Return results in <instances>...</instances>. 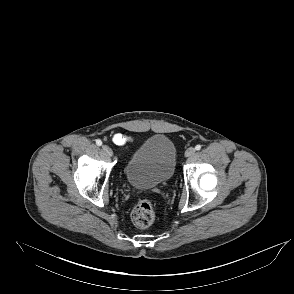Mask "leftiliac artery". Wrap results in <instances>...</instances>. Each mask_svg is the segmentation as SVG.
Here are the masks:
<instances>
[{
    "label": "left iliac artery",
    "mask_w": 294,
    "mask_h": 294,
    "mask_svg": "<svg viewBox=\"0 0 294 294\" xmlns=\"http://www.w3.org/2000/svg\"><path fill=\"white\" fill-rule=\"evenodd\" d=\"M195 149H196V150H200V149H201V145H199V144L196 145Z\"/></svg>",
    "instance_id": "44dca946"
}]
</instances>
